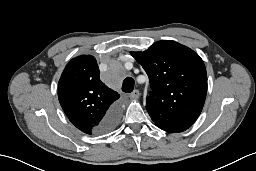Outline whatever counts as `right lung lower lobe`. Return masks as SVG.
I'll list each match as a JSON object with an SVG mask.
<instances>
[{"instance_id": "right-lung-lower-lobe-1", "label": "right lung lower lobe", "mask_w": 256, "mask_h": 171, "mask_svg": "<svg viewBox=\"0 0 256 171\" xmlns=\"http://www.w3.org/2000/svg\"><path fill=\"white\" fill-rule=\"evenodd\" d=\"M120 114V108L118 105H115L111 109H109L106 117L104 118L102 122V128L107 131L114 128L118 122Z\"/></svg>"}]
</instances>
